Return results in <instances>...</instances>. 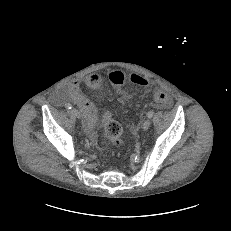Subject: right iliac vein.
Instances as JSON below:
<instances>
[{
    "instance_id": "obj_1",
    "label": "right iliac vein",
    "mask_w": 231,
    "mask_h": 231,
    "mask_svg": "<svg viewBox=\"0 0 231 231\" xmlns=\"http://www.w3.org/2000/svg\"><path fill=\"white\" fill-rule=\"evenodd\" d=\"M71 112L77 117V118H81V113H80V111L78 110V109H76V108H73L72 110H71Z\"/></svg>"
}]
</instances>
